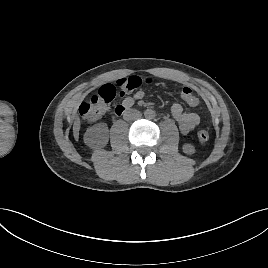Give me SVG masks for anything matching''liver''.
Instances as JSON below:
<instances>
[{"label": "liver", "mask_w": 268, "mask_h": 268, "mask_svg": "<svg viewBox=\"0 0 268 268\" xmlns=\"http://www.w3.org/2000/svg\"><path fill=\"white\" fill-rule=\"evenodd\" d=\"M80 126H81L80 119L76 118L73 124V135H74L75 140L79 139Z\"/></svg>", "instance_id": "liver-1"}]
</instances>
